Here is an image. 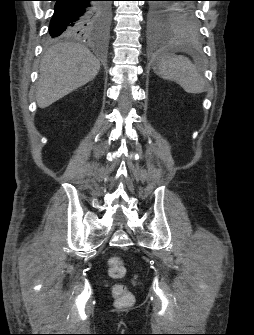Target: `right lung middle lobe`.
I'll use <instances>...</instances> for the list:
<instances>
[{
    "instance_id": "right-lung-middle-lobe-1",
    "label": "right lung middle lobe",
    "mask_w": 254,
    "mask_h": 335,
    "mask_svg": "<svg viewBox=\"0 0 254 335\" xmlns=\"http://www.w3.org/2000/svg\"><path fill=\"white\" fill-rule=\"evenodd\" d=\"M110 19V3L109 2H101L99 5V15L96 21L90 27V34H99L104 33L107 30V26ZM74 35H83L79 32L77 33H69L62 37L74 36ZM59 38V37H58ZM53 37H49L48 40L52 41Z\"/></svg>"
}]
</instances>
